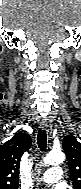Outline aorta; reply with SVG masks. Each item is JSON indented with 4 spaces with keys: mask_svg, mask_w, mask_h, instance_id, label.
Segmentation results:
<instances>
[{
    "mask_svg": "<svg viewBox=\"0 0 81 189\" xmlns=\"http://www.w3.org/2000/svg\"><path fill=\"white\" fill-rule=\"evenodd\" d=\"M65 159V154L61 151H51L43 159L45 165H57L61 164Z\"/></svg>",
    "mask_w": 81,
    "mask_h": 189,
    "instance_id": "762f6f07",
    "label": "aorta"
}]
</instances>
